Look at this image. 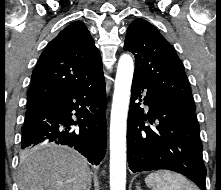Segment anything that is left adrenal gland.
<instances>
[{"label": "left adrenal gland", "instance_id": "a2214340", "mask_svg": "<svg viewBox=\"0 0 221 190\" xmlns=\"http://www.w3.org/2000/svg\"><path fill=\"white\" fill-rule=\"evenodd\" d=\"M136 189H137V190H142V189L140 188V186H138V185L136 186Z\"/></svg>", "mask_w": 221, "mask_h": 190}]
</instances>
